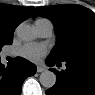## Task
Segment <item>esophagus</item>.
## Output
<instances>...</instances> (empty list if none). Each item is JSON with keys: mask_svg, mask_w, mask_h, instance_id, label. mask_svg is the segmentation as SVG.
<instances>
[{"mask_svg": "<svg viewBox=\"0 0 95 95\" xmlns=\"http://www.w3.org/2000/svg\"><path fill=\"white\" fill-rule=\"evenodd\" d=\"M44 70H45L44 67H42V66H37V72H38V73H41V72H43Z\"/></svg>", "mask_w": 95, "mask_h": 95, "instance_id": "34e87169", "label": "esophagus"}]
</instances>
